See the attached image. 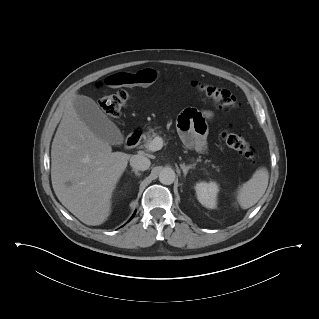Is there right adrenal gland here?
Masks as SVG:
<instances>
[{
	"label": "right adrenal gland",
	"instance_id": "right-adrenal-gland-1",
	"mask_svg": "<svg viewBox=\"0 0 319 319\" xmlns=\"http://www.w3.org/2000/svg\"><path fill=\"white\" fill-rule=\"evenodd\" d=\"M131 171L134 172L136 176H140V175H141V173H139V172H138L137 170H135V169H132Z\"/></svg>",
	"mask_w": 319,
	"mask_h": 319
}]
</instances>
